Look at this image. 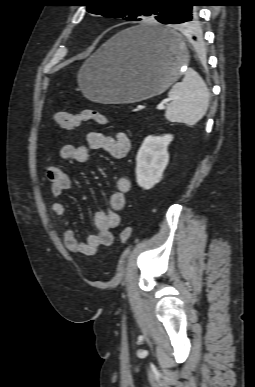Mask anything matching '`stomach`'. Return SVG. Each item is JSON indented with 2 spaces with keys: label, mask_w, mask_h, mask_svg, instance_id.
<instances>
[{
  "label": "stomach",
  "mask_w": 255,
  "mask_h": 387,
  "mask_svg": "<svg viewBox=\"0 0 255 387\" xmlns=\"http://www.w3.org/2000/svg\"><path fill=\"white\" fill-rule=\"evenodd\" d=\"M146 30H160L169 39L153 42L140 35ZM187 63V49L177 34L142 23L119 32L92 55L79 70L78 84L92 101L134 103L168 89Z\"/></svg>",
  "instance_id": "obj_1"
}]
</instances>
